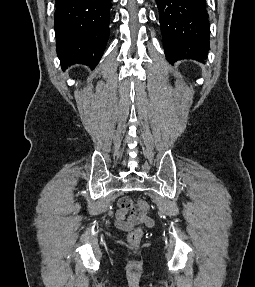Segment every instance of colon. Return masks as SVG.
Instances as JSON below:
<instances>
[{
  "label": "colon",
  "mask_w": 255,
  "mask_h": 287,
  "mask_svg": "<svg viewBox=\"0 0 255 287\" xmlns=\"http://www.w3.org/2000/svg\"><path fill=\"white\" fill-rule=\"evenodd\" d=\"M137 205L138 209L143 213H146L148 211L149 206L146 201L140 200L138 201ZM141 237H142V230L140 228H137L132 230L128 234V241L132 244H135L140 241Z\"/></svg>",
  "instance_id": "5ec220e1"
}]
</instances>
